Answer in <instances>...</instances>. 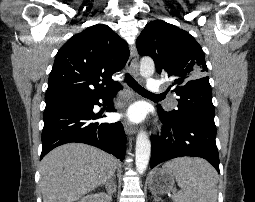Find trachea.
I'll list each match as a JSON object with an SVG mask.
<instances>
[{"mask_svg":"<svg viewBox=\"0 0 255 202\" xmlns=\"http://www.w3.org/2000/svg\"><path fill=\"white\" fill-rule=\"evenodd\" d=\"M125 81L126 83L133 88L136 92L140 93V94H145V95H150V96H154V97H158V98H163V95H156L153 94L149 91H147L145 88H143L141 85H139L130 74L126 73L125 74Z\"/></svg>","mask_w":255,"mask_h":202,"instance_id":"obj_1","label":"trachea"}]
</instances>
